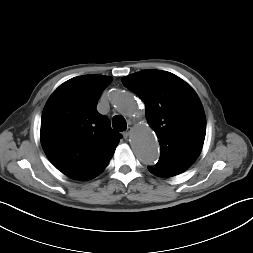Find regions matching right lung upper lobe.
Returning a JSON list of instances; mask_svg holds the SVG:
<instances>
[{
  "label": "right lung upper lobe",
  "mask_w": 253,
  "mask_h": 253,
  "mask_svg": "<svg viewBox=\"0 0 253 253\" xmlns=\"http://www.w3.org/2000/svg\"><path fill=\"white\" fill-rule=\"evenodd\" d=\"M112 77L83 75L60 85L41 118V144L50 162L65 175L89 180L109 163L122 135L96 106Z\"/></svg>",
  "instance_id": "right-lung-upper-lobe-1"
}]
</instances>
